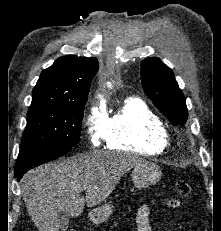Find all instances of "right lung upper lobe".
I'll return each instance as SVG.
<instances>
[{
    "instance_id": "right-lung-upper-lobe-1",
    "label": "right lung upper lobe",
    "mask_w": 221,
    "mask_h": 231,
    "mask_svg": "<svg viewBox=\"0 0 221 231\" xmlns=\"http://www.w3.org/2000/svg\"><path fill=\"white\" fill-rule=\"evenodd\" d=\"M99 68L96 58L65 56L41 72L31 106L88 98L91 81Z\"/></svg>"
}]
</instances>
